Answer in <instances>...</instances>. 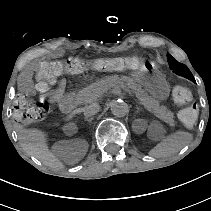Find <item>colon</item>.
I'll return each mask as SVG.
<instances>
[{
    "label": "colon",
    "instance_id": "5ec220e1",
    "mask_svg": "<svg viewBox=\"0 0 211 211\" xmlns=\"http://www.w3.org/2000/svg\"><path fill=\"white\" fill-rule=\"evenodd\" d=\"M150 63L139 56H121L86 60L80 57H70L65 60L51 59L41 63L35 74L37 90L44 94L65 73L79 74L86 71H143L150 68ZM173 98L182 106L179 119L188 128H194L198 120V108L192 102L193 96L187 87L174 89ZM50 112L47 102L35 101L20 95L14 104V117L17 122L30 125L45 119Z\"/></svg>",
    "mask_w": 211,
    "mask_h": 211
}]
</instances>
